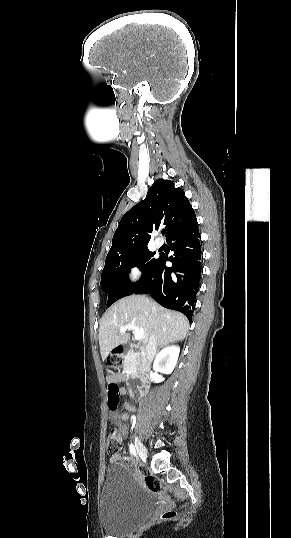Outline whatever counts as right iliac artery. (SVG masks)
Returning a JSON list of instances; mask_svg holds the SVG:
<instances>
[{
    "instance_id": "82829eb1",
    "label": "right iliac artery",
    "mask_w": 291,
    "mask_h": 538,
    "mask_svg": "<svg viewBox=\"0 0 291 538\" xmlns=\"http://www.w3.org/2000/svg\"><path fill=\"white\" fill-rule=\"evenodd\" d=\"M129 451H130L131 455H135V454H136L135 447H134L133 444H130V445H129Z\"/></svg>"
}]
</instances>
